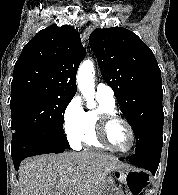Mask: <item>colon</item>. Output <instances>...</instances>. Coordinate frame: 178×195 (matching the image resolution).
<instances>
[{"mask_svg":"<svg viewBox=\"0 0 178 195\" xmlns=\"http://www.w3.org/2000/svg\"><path fill=\"white\" fill-rule=\"evenodd\" d=\"M149 183V176L144 172H135L130 180V190L133 195H142Z\"/></svg>","mask_w":178,"mask_h":195,"instance_id":"5ec220e1","label":"colon"}]
</instances>
